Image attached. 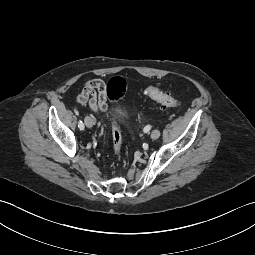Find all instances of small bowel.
Wrapping results in <instances>:
<instances>
[{
  "instance_id": "c3829d8e",
  "label": "small bowel",
  "mask_w": 255,
  "mask_h": 255,
  "mask_svg": "<svg viewBox=\"0 0 255 255\" xmlns=\"http://www.w3.org/2000/svg\"><path fill=\"white\" fill-rule=\"evenodd\" d=\"M80 105L88 104L93 111L106 112L108 109L107 86L101 79H92L83 87L77 97Z\"/></svg>"
}]
</instances>
